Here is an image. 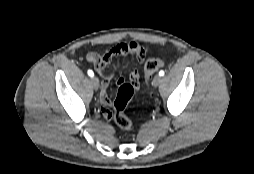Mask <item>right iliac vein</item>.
Instances as JSON below:
<instances>
[{
	"mask_svg": "<svg viewBox=\"0 0 254 174\" xmlns=\"http://www.w3.org/2000/svg\"><path fill=\"white\" fill-rule=\"evenodd\" d=\"M91 83L95 90L99 89V79L97 77H92Z\"/></svg>",
	"mask_w": 254,
	"mask_h": 174,
	"instance_id": "63e3f726",
	"label": "right iliac vein"
}]
</instances>
